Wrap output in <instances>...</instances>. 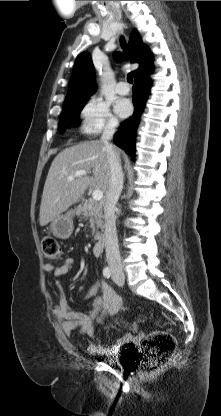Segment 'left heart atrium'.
<instances>
[{
  "label": "left heart atrium",
  "mask_w": 221,
  "mask_h": 416,
  "mask_svg": "<svg viewBox=\"0 0 221 416\" xmlns=\"http://www.w3.org/2000/svg\"><path fill=\"white\" fill-rule=\"evenodd\" d=\"M116 112L121 117H127L132 113V105L130 102L122 100L117 104Z\"/></svg>",
  "instance_id": "left-heart-atrium-1"
}]
</instances>
